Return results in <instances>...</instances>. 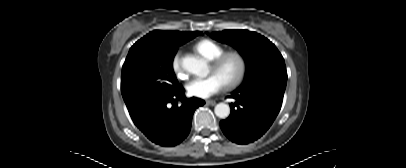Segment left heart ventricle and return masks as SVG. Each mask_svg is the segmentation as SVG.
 Masks as SVG:
<instances>
[{"instance_id":"obj_1","label":"left heart ventricle","mask_w":406,"mask_h":168,"mask_svg":"<svg viewBox=\"0 0 406 168\" xmlns=\"http://www.w3.org/2000/svg\"><path fill=\"white\" fill-rule=\"evenodd\" d=\"M238 71V63L235 58H229L218 70L210 67V73L217 75L223 83H227L235 78Z\"/></svg>"}]
</instances>
